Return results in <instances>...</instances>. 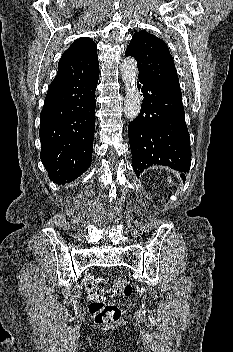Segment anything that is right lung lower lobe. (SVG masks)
<instances>
[{
	"instance_id": "98d812e1",
	"label": "right lung lower lobe",
	"mask_w": 233,
	"mask_h": 352,
	"mask_svg": "<svg viewBox=\"0 0 233 352\" xmlns=\"http://www.w3.org/2000/svg\"><path fill=\"white\" fill-rule=\"evenodd\" d=\"M99 69L79 80L49 87L40 114V158L51 181H74L90 166Z\"/></svg>"
}]
</instances>
